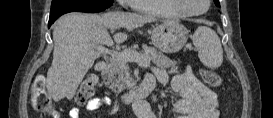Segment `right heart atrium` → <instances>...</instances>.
Wrapping results in <instances>:
<instances>
[{
	"instance_id": "right-heart-atrium-1",
	"label": "right heart atrium",
	"mask_w": 273,
	"mask_h": 118,
	"mask_svg": "<svg viewBox=\"0 0 273 118\" xmlns=\"http://www.w3.org/2000/svg\"><path fill=\"white\" fill-rule=\"evenodd\" d=\"M119 2L123 7H127L131 5L132 0H119Z\"/></svg>"
}]
</instances>
